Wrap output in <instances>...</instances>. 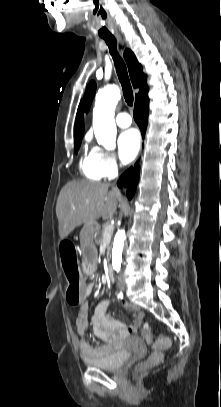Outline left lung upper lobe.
I'll list each match as a JSON object with an SVG mask.
<instances>
[{"instance_id":"left-lung-upper-lobe-1","label":"left lung upper lobe","mask_w":221,"mask_h":407,"mask_svg":"<svg viewBox=\"0 0 221 407\" xmlns=\"http://www.w3.org/2000/svg\"><path fill=\"white\" fill-rule=\"evenodd\" d=\"M96 91V84L95 82L91 81L86 89L85 96H84V108L87 112L91 106L94 94Z\"/></svg>"}]
</instances>
